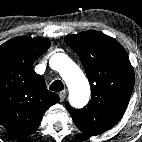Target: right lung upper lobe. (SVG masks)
<instances>
[{
    "mask_svg": "<svg viewBox=\"0 0 142 142\" xmlns=\"http://www.w3.org/2000/svg\"><path fill=\"white\" fill-rule=\"evenodd\" d=\"M49 46V39L31 37L0 46V124L16 137L35 132L45 111L59 101L33 70L34 61Z\"/></svg>",
    "mask_w": 142,
    "mask_h": 142,
    "instance_id": "obj_1",
    "label": "right lung upper lobe"
}]
</instances>
